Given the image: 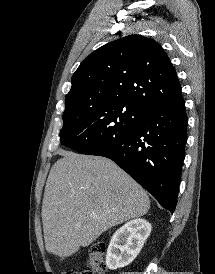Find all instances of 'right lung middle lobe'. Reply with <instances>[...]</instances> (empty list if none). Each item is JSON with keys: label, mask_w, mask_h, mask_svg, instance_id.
I'll return each instance as SVG.
<instances>
[{"label": "right lung middle lobe", "mask_w": 215, "mask_h": 274, "mask_svg": "<svg viewBox=\"0 0 215 274\" xmlns=\"http://www.w3.org/2000/svg\"><path fill=\"white\" fill-rule=\"evenodd\" d=\"M143 113L127 102H65L61 143L85 154L129 132Z\"/></svg>", "instance_id": "1"}]
</instances>
